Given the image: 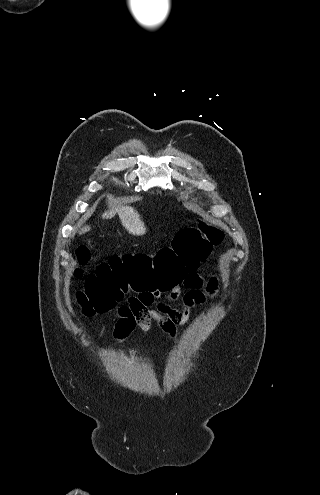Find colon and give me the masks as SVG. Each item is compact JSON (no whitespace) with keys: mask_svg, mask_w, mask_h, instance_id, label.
<instances>
[{"mask_svg":"<svg viewBox=\"0 0 320 495\" xmlns=\"http://www.w3.org/2000/svg\"><path fill=\"white\" fill-rule=\"evenodd\" d=\"M223 232L216 226L201 222L177 232L170 247L156 256L127 254L113 256L100 264L91 274L77 299L86 314L102 313L114 308L128 290L162 292L182 281L184 275L195 271L208 257L213 246L223 240ZM89 247L80 246L77 259L84 265ZM78 267L76 274H81Z\"/></svg>","mask_w":320,"mask_h":495,"instance_id":"5ec220e1","label":"colon"}]
</instances>
